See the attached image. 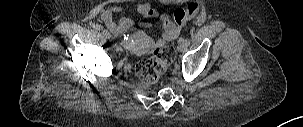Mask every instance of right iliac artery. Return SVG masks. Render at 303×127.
Returning <instances> with one entry per match:
<instances>
[{"label":"right iliac artery","mask_w":303,"mask_h":127,"mask_svg":"<svg viewBox=\"0 0 303 127\" xmlns=\"http://www.w3.org/2000/svg\"><path fill=\"white\" fill-rule=\"evenodd\" d=\"M95 29L102 31V34L107 37L109 35V32L106 29H103L101 25H95Z\"/></svg>","instance_id":"1"}]
</instances>
